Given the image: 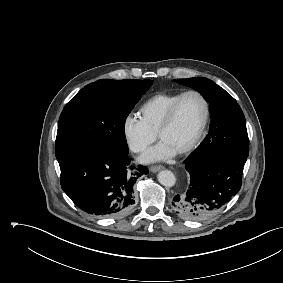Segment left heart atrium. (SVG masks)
<instances>
[{
    "instance_id": "left-heart-atrium-1",
    "label": "left heart atrium",
    "mask_w": 283,
    "mask_h": 283,
    "mask_svg": "<svg viewBox=\"0 0 283 283\" xmlns=\"http://www.w3.org/2000/svg\"><path fill=\"white\" fill-rule=\"evenodd\" d=\"M178 152L167 143L161 141L158 145L148 150L142 157V162L164 161L174 157Z\"/></svg>"
}]
</instances>
